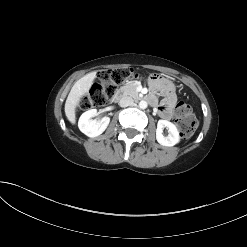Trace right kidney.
<instances>
[{
	"label": "right kidney",
	"mask_w": 247,
	"mask_h": 247,
	"mask_svg": "<svg viewBox=\"0 0 247 247\" xmlns=\"http://www.w3.org/2000/svg\"><path fill=\"white\" fill-rule=\"evenodd\" d=\"M98 115L96 109H90L84 112L78 121V127L82 133L88 137H97L102 134L109 125L110 118L103 117L101 120H90V118Z\"/></svg>",
	"instance_id": "1"
}]
</instances>
